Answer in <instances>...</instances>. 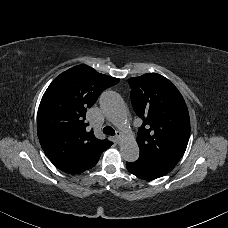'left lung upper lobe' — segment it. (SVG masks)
<instances>
[{
	"instance_id": "1",
	"label": "left lung upper lobe",
	"mask_w": 228,
	"mask_h": 228,
	"mask_svg": "<svg viewBox=\"0 0 228 228\" xmlns=\"http://www.w3.org/2000/svg\"><path fill=\"white\" fill-rule=\"evenodd\" d=\"M128 83L133 109L143 120L137 135L140 154L177 164L190 136V118L182 95L157 73L130 78Z\"/></svg>"
}]
</instances>
